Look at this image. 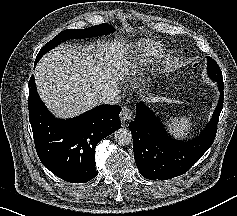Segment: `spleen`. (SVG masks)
<instances>
[{"instance_id":"obj_1","label":"spleen","mask_w":237,"mask_h":216,"mask_svg":"<svg viewBox=\"0 0 237 216\" xmlns=\"http://www.w3.org/2000/svg\"><path fill=\"white\" fill-rule=\"evenodd\" d=\"M164 125L175 139L188 138L192 130V123L186 116L170 117L164 121Z\"/></svg>"}]
</instances>
